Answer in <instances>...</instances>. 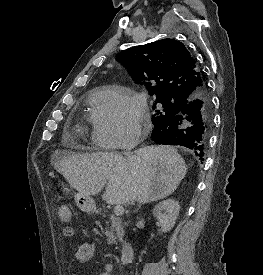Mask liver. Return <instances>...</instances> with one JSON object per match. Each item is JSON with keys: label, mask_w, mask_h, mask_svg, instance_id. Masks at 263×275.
<instances>
[{"label": "liver", "mask_w": 263, "mask_h": 275, "mask_svg": "<svg viewBox=\"0 0 263 275\" xmlns=\"http://www.w3.org/2000/svg\"><path fill=\"white\" fill-rule=\"evenodd\" d=\"M54 168L85 196L103 190L109 204H146L172 194L184 179L187 165L168 146H145L130 159L118 153L66 154L53 156Z\"/></svg>", "instance_id": "1"}]
</instances>
